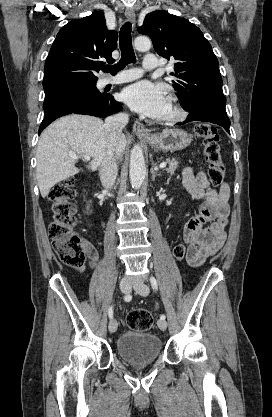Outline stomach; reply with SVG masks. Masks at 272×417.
I'll use <instances>...</instances> for the list:
<instances>
[{
	"instance_id": "stomach-1",
	"label": "stomach",
	"mask_w": 272,
	"mask_h": 417,
	"mask_svg": "<svg viewBox=\"0 0 272 417\" xmlns=\"http://www.w3.org/2000/svg\"><path fill=\"white\" fill-rule=\"evenodd\" d=\"M144 140L155 150L175 152L185 149L191 143V137L182 129H166Z\"/></svg>"
}]
</instances>
